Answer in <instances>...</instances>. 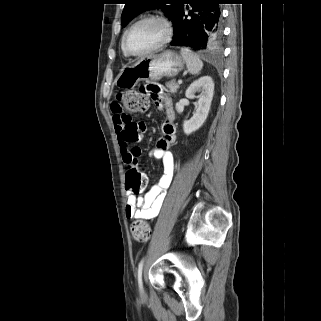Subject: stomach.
Masks as SVG:
<instances>
[{"label": "stomach", "instance_id": "obj_1", "mask_svg": "<svg viewBox=\"0 0 321 321\" xmlns=\"http://www.w3.org/2000/svg\"><path fill=\"white\" fill-rule=\"evenodd\" d=\"M184 59L175 51L167 50L148 55L121 70L115 84L120 88H133L140 81H157L163 77H175L184 68Z\"/></svg>", "mask_w": 321, "mask_h": 321}]
</instances>
